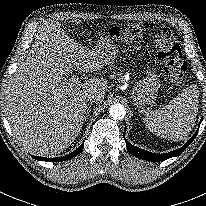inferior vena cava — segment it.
Listing matches in <instances>:
<instances>
[{"label":"inferior vena cava","instance_id":"602c4592","mask_svg":"<svg viewBox=\"0 0 206 206\" xmlns=\"http://www.w3.org/2000/svg\"><path fill=\"white\" fill-rule=\"evenodd\" d=\"M86 100L90 101L91 103L92 102H96V103L100 102V99L94 94L87 95Z\"/></svg>","mask_w":206,"mask_h":206}]
</instances>
